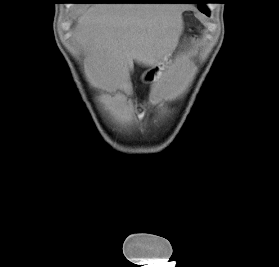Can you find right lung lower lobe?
Instances as JSON below:
<instances>
[{
  "label": "right lung lower lobe",
  "instance_id": "98d812e1",
  "mask_svg": "<svg viewBox=\"0 0 279 267\" xmlns=\"http://www.w3.org/2000/svg\"><path fill=\"white\" fill-rule=\"evenodd\" d=\"M141 1H132V2H122V1H117V0H78L75 1L74 3H143Z\"/></svg>",
  "mask_w": 279,
  "mask_h": 267
}]
</instances>
